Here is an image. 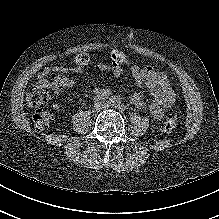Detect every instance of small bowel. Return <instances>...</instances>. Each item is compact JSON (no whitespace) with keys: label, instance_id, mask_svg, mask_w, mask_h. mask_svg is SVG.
Instances as JSON below:
<instances>
[{"label":"small bowel","instance_id":"obj_1","mask_svg":"<svg viewBox=\"0 0 219 219\" xmlns=\"http://www.w3.org/2000/svg\"><path fill=\"white\" fill-rule=\"evenodd\" d=\"M110 58L112 66L109 68L113 75L116 77L121 76L125 72V68L128 71L139 87L146 86L152 97V101L149 105V111L151 116L155 120H161L164 117L165 111L169 109L176 100L175 92L169 83L168 76L165 73L158 72L151 65L138 66L132 63L130 57L121 50L114 49L110 52ZM74 68L76 72H81V66ZM54 71H61L60 67H53ZM50 68H46L44 72H49ZM74 85V81L66 76L58 75L51 83V87L56 95H60L63 90L70 89ZM95 93L98 95H107L109 90L97 88ZM129 101L132 105L139 109L147 107L144 102L143 95L140 92L133 93Z\"/></svg>","mask_w":219,"mask_h":219}]
</instances>
